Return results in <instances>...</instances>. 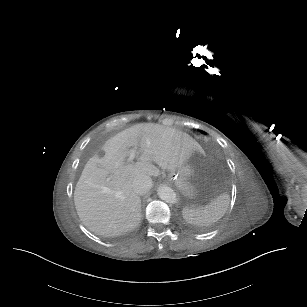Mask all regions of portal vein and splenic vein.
Wrapping results in <instances>:
<instances>
[{"instance_id":"portal-vein-and-splenic-vein-1","label":"portal vein and splenic vein","mask_w":307,"mask_h":307,"mask_svg":"<svg viewBox=\"0 0 307 307\" xmlns=\"http://www.w3.org/2000/svg\"><path fill=\"white\" fill-rule=\"evenodd\" d=\"M135 156H136V147L129 151V158L127 160V163H130V161H132L135 158ZM102 190H103V192H107L109 190V188L102 187Z\"/></svg>"}]
</instances>
